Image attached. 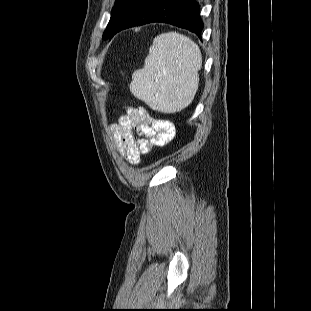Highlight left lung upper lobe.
I'll use <instances>...</instances> for the list:
<instances>
[{"mask_svg": "<svg viewBox=\"0 0 311 311\" xmlns=\"http://www.w3.org/2000/svg\"><path fill=\"white\" fill-rule=\"evenodd\" d=\"M126 1L127 0H116L115 6L113 7L112 12H111L110 21H109L107 28L103 34V39H108L110 37V35L114 29V26H115L117 15H118L120 9L122 8V6L125 4Z\"/></svg>", "mask_w": 311, "mask_h": 311, "instance_id": "left-lung-upper-lobe-1", "label": "left lung upper lobe"}]
</instances>
